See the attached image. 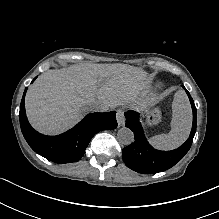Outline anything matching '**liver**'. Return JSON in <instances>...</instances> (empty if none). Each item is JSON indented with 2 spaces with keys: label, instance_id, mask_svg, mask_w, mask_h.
<instances>
[{
  "label": "liver",
  "instance_id": "1",
  "mask_svg": "<svg viewBox=\"0 0 219 219\" xmlns=\"http://www.w3.org/2000/svg\"><path fill=\"white\" fill-rule=\"evenodd\" d=\"M149 72L127 64H70L42 73L25 95L29 124L45 136L74 128L94 102L110 109L142 111L148 103Z\"/></svg>",
  "mask_w": 219,
  "mask_h": 219
}]
</instances>
